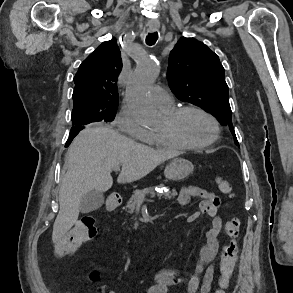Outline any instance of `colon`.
<instances>
[{"instance_id": "5ec220e1", "label": "colon", "mask_w": 293, "mask_h": 293, "mask_svg": "<svg viewBox=\"0 0 293 293\" xmlns=\"http://www.w3.org/2000/svg\"><path fill=\"white\" fill-rule=\"evenodd\" d=\"M219 190L227 195L233 196L230 184L222 179H216ZM240 222L238 219H230L226 221L223 227L224 234L230 238V241L223 248L219 270L220 276L218 280L219 287L215 293H225L229 285L231 276L237 261L238 246L236 239L239 235ZM98 235V226L95 218L92 216H83L77 223L60 239L54 246V254L56 256L71 255L81 244L95 238ZM100 276L98 271L92 272V278L97 279Z\"/></svg>"}]
</instances>
